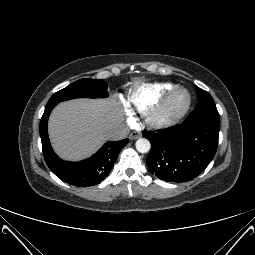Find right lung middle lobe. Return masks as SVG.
I'll return each instance as SVG.
<instances>
[{"instance_id": "dd1d6c3e", "label": "right lung middle lobe", "mask_w": 255, "mask_h": 255, "mask_svg": "<svg viewBox=\"0 0 255 255\" xmlns=\"http://www.w3.org/2000/svg\"><path fill=\"white\" fill-rule=\"evenodd\" d=\"M107 96V84L103 80L86 78L80 79L53 94L52 97L49 99L47 105H56L61 101L74 98H104Z\"/></svg>"}]
</instances>
